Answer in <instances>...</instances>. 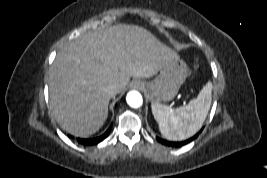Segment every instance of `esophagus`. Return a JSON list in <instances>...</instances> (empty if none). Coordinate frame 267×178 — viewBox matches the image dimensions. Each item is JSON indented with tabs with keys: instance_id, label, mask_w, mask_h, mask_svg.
<instances>
[{
	"instance_id": "obj_1",
	"label": "esophagus",
	"mask_w": 267,
	"mask_h": 178,
	"mask_svg": "<svg viewBox=\"0 0 267 178\" xmlns=\"http://www.w3.org/2000/svg\"><path fill=\"white\" fill-rule=\"evenodd\" d=\"M131 86L135 89H142L143 88V84L142 82L136 80V81H133Z\"/></svg>"
}]
</instances>
